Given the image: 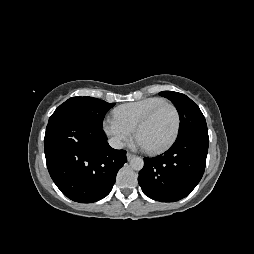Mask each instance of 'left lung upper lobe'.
Listing matches in <instances>:
<instances>
[{
	"instance_id": "5c2ea615",
	"label": "left lung upper lobe",
	"mask_w": 254,
	"mask_h": 254,
	"mask_svg": "<svg viewBox=\"0 0 254 254\" xmlns=\"http://www.w3.org/2000/svg\"><path fill=\"white\" fill-rule=\"evenodd\" d=\"M159 95L171 100L178 110L180 117L178 137L194 132H208L204 115L190 98L173 91H163Z\"/></svg>"
}]
</instances>
